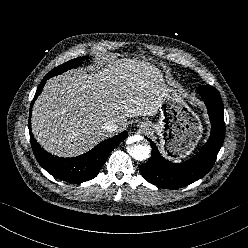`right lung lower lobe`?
<instances>
[{"label":"right lung lower lobe","instance_id":"right-lung-lower-lobe-1","mask_svg":"<svg viewBox=\"0 0 248 248\" xmlns=\"http://www.w3.org/2000/svg\"><path fill=\"white\" fill-rule=\"evenodd\" d=\"M52 74H47L37 88L34 99L31 103L29 116L30 142L34 155L39 164L52 176L70 183H81L93 179L99 173V170L107 160L111 151L122 142L128 133L122 132L112 138L102 141L89 152L74 158L54 157L47 153L34 139L31 132V109L34 101L41 93L46 81Z\"/></svg>","mask_w":248,"mask_h":248}]
</instances>
